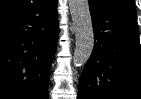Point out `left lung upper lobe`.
I'll return each mask as SVG.
<instances>
[{
  "label": "left lung upper lobe",
  "mask_w": 141,
  "mask_h": 99,
  "mask_svg": "<svg viewBox=\"0 0 141 99\" xmlns=\"http://www.w3.org/2000/svg\"><path fill=\"white\" fill-rule=\"evenodd\" d=\"M113 4H119V5H123V4H133V0H107Z\"/></svg>",
  "instance_id": "5c2ea615"
}]
</instances>
